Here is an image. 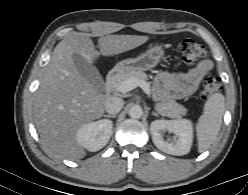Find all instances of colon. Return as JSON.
<instances>
[{
	"label": "colon",
	"instance_id": "colon-1",
	"mask_svg": "<svg viewBox=\"0 0 248 195\" xmlns=\"http://www.w3.org/2000/svg\"><path fill=\"white\" fill-rule=\"evenodd\" d=\"M182 60L186 65L193 66L203 61L208 56L206 47L194 40L184 39L180 43ZM221 89V82L216 77L206 78L202 85L201 97L208 99Z\"/></svg>",
	"mask_w": 248,
	"mask_h": 195
}]
</instances>
